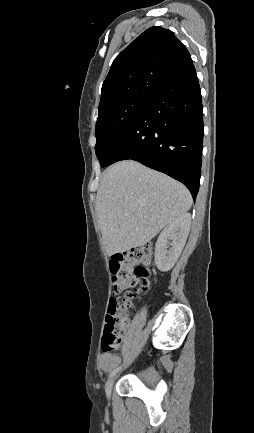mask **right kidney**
Returning a JSON list of instances; mask_svg holds the SVG:
<instances>
[{"instance_id": "ca27d5eb", "label": "right kidney", "mask_w": 254, "mask_h": 433, "mask_svg": "<svg viewBox=\"0 0 254 433\" xmlns=\"http://www.w3.org/2000/svg\"><path fill=\"white\" fill-rule=\"evenodd\" d=\"M191 225V215L178 216L160 233L155 247V264L161 272L169 271L178 260Z\"/></svg>"}]
</instances>
